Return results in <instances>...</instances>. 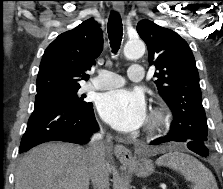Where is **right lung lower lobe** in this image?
Listing matches in <instances>:
<instances>
[{
  "label": "right lung lower lobe",
  "instance_id": "obj_1",
  "mask_svg": "<svg viewBox=\"0 0 223 189\" xmlns=\"http://www.w3.org/2000/svg\"><path fill=\"white\" fill-rule=\"evenodd\" d=\"M98 130L93 106L84 110L56 102L36 101L19 153L48 141L83 144Z\"/></svg>",
  "mask_w": 223,
  "mask_h": 189
}]
</instances>
